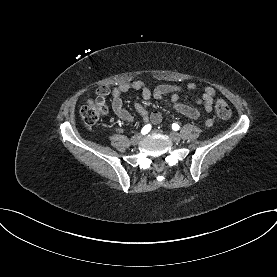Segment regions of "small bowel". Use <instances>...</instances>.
I'll list each match as a JSON object with an SVG mask.
<instances>
[{"label":"small bowel","instance_id":"small-bowel-1","mask_svg":"<svg viewBox=\"0 0 277 277\" xmlns=\"http://www.w3.org/2000/svg\"><path fill=\"white\" fill-rule=\"evenodd\" d=\"M186 89L193 91L197 89L195 83H188ZM140 91L144 100L155 99L163 101L172 107L178 113L190 118L198 119L201 115L200 111L192 106L183 104L180 102V93L183 92L184 88L179 85L162 84L157 86L154 90L148 88L142 81H133L121 83L110 91L108 87L101 86L96 89L95 95L98 98L105 99V97L111 94L112 97V110L122 120L127 122H134L133 115L124 108L122 94L130 91ZM215 89L211 86H205L202 88V96L196 99V103L202 105L206 112H210L213 107ZM168 95L169 98L167 97ZM136 111L143 118L145 122H151L152 124H159L162 120V115L159 111L148 112L144 105L139 102L134 104ZM206 125L210 127L212 120L208 119Z\"/></svg>","mask_w":277,"mask_h":277}]
</instances>
